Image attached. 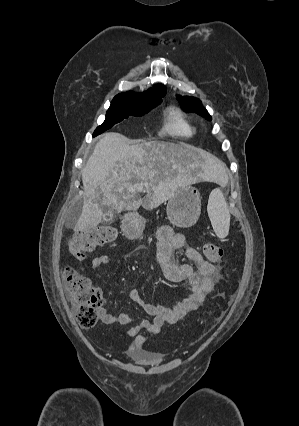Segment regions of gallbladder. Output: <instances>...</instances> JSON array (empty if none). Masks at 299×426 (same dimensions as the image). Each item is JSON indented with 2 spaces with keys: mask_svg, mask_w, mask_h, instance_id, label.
<instances>
[{
  "mask_svg": "<svg viewBox=\"0 0 299 426\" xmlns=\"http://www.w3.org/2000/svg\"><path fill=\"white\" fill-rule=\"evenodd\" d=\"M115 213V209L104 206L103 207V214H104V223H112L113 222V215Z\"/></svg>",
  "mask_w": 299,
  "mask_h": 426,
  "instance_id": "1",
  "label": "gallbladder"
}]
</instances>
